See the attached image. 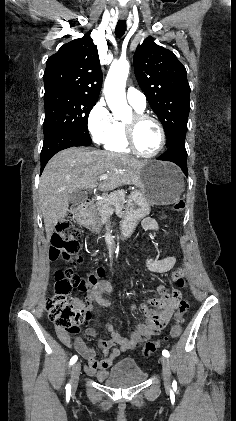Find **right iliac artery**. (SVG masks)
<instances>
[{
  "label": "right iliac artery",
  "mask_w": 236,
  "mask_h": 421,
  "mask_svg": "<svg viewBox=\"0 0 236 421\" xmlns=\"http://www.w3.org/2000/svg\"><path fill=\"white\" fill-rule=\"evenodd\" d=\"M78 357L75 355L70 359V365H73L76 361H77ZM66 392H70L71 391V385L67 384L66 385Z\"/></svg>",
  "instance_id": "1"
}]
</instances>
